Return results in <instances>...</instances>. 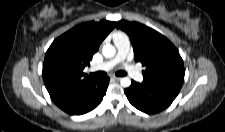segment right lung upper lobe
Masks as SVG:
<instances>
[{"mask_svg": "<svg viewBox=\"0 0 225 132\" xmlns=\"http://www.w3.org/2000/svg\"><path fill=\"white\" fill-rule=\"evenodd\" d=\"M115 26L116 22L106 20L86 22L53 41L45 55L42 75L54 103L70 99L96 79L83 69Z\"/></svg>", "mask_w": 225, "mask_h": 132, "instance_id": "1", "label": "right lung upper lobe"}]
</instances>
